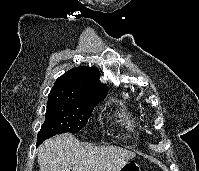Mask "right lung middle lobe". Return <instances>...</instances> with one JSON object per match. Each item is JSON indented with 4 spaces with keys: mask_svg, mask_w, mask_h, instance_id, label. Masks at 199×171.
I'll return each instance as SVG.
<instances>
[{
    "mask_svg": "<svg viewBox=\"0 0 199 171\" xmlns=\"http://www.w3.org/2000/svg\"><path fill=\"white\" fill-rule=\"evenodd\" d=\"M103 98L90 101H72L49 96L45 122L38 132V141L65 132L76 133L88 122L93 108Z\"/></svg>",
    "mask_w": 199,
    "mask_h": 171,
    "instance_id": "obj_1",
    "label": "right lung middle lobe"
}]
</instances>
